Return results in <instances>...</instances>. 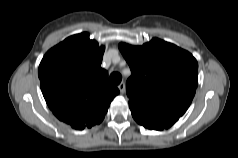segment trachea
Wrapping results in <instances>:
<instances>
[{
    "mask_svg": "<svg viewBox=\"0 0 238 158\" xmlns=\"http://www.w3.org/2000/svg\"><path fill=\"white\" fill-rule=\"evenodd\" d=\"M122 80V77L119 73L117 72H113L111 75H110V81L112 84L114 85H118Z\"/></svg>",
    "mask_w": 238,
    "mask_h": 158,
    "instance_id": "1",
    "label": "trachea"
}]
</instances>
